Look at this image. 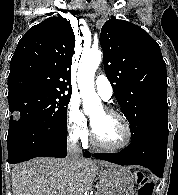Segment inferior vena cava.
<instances>
[{
	"mask_svg": "<svg viewBox=\"0 0 178 195\" xmlns=\"http://www.w3.org/2000/svg\"><path fill=\"white\" fill-rule=\"evenodd\" d=\"M82 158V149L77 138L68 139V164L73 170L76 169Z\"/></svg>",
	"mask_w": 178,
	"mask_h": 195,
	"instance_id": "obj_1",
	"label": "inferior vena cava"
}]
</instances>
